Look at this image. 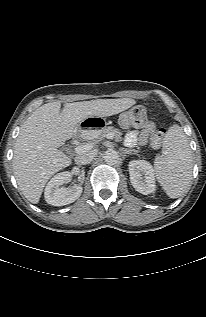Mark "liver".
I'll use <instances>...</instances> for the list:
<instances>
[{
  "label": "liver",
  "mask_w": 206,
  "mask_h": 317,
  "mask_svg": "<svg viewBox=\"0 0 206 317\" xmlns=\"http://www.w3.org/2000/svg\"><path fill=\"white\" fill-rule=\"evenodd\" d=\"M134 99H97L50 102L36 109L23 123L16 139L13 170L19 189L32 204L40 200L47 181L69 166L71 159L58 148L73 137L88 117H108L132 107Z\"/></svg>",
  "instance_id": "liver-1"
}]
</instances>
